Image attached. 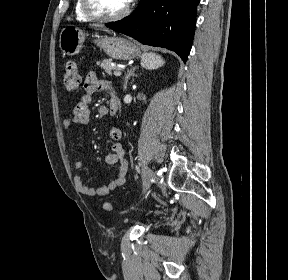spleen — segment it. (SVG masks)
<instances>
[{
	"mask_svg": "<svg viewBox=\"0 0 288 280\" xmlns=\"http://www.w3.org/2000/svg\"><path fill=\"white\" fill-rule=\"evenodd\" d=\"M165 61L161 57V55H158L156 53L150 52V53H144L141 58V65L145 69H157L161 66H163Z\"/></svg>",
	"mask_w": 288,
	"mask_h": 280,
	"instance_id": "spleen-1",
	"label": "spleen"
}]
</instances>
